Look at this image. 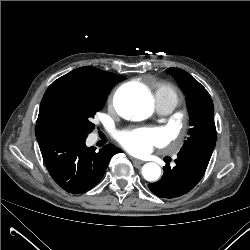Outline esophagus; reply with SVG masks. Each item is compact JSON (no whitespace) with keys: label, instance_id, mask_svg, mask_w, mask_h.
<instances>
[{"label":"esophagus","instance_id":"esophagus-1","mask_svg":"<svg viewBox=\"0 0 250 250\" xmlns=\"http://www.w3.org/2000/svg\"><path fill=\"white\" fill-rule=\"evenodd\" d=\"M131 160H132V162H133L135 165H141V164L144 163L142 160H139V159L134 158V157H131Z\"/></svg>","mask_w":250,"mask_h":250}]
</instances>
